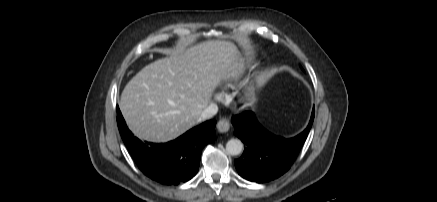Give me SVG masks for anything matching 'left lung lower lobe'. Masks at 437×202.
<instances>
[{"label":"left lung lower lobe","instance_id":"1","mask_svg":"<svg viewBox=\"0 0 437 202\" xmlns=\"http://www.w3.org/2000/svg\"><path fill=\"white\" fill-rule=\"evenodd\" d=\"M314 114L313 108L307 128L290 139L268 132L258 123L253 112L234 116V134L245 145L242 156L234 161L239 175L252 182L264 183L288 171L308 136Z\"/></svg>","mask_w":437,"mask_h":202}]
</instances>
